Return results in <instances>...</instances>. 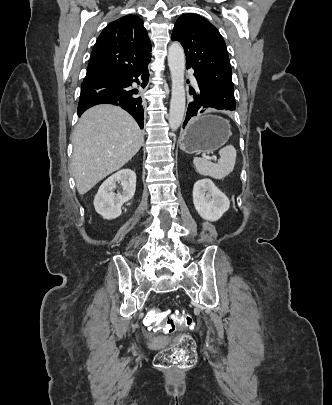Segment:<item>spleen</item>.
Masks as SVG:
<instances>
[{
	"label": "spleen",
	"mask_w": 332,
	"mask_h": 405,
	"mask_svg": "<svg viewBox=\"0 0 332 405\" xmlns=\"http://www.w3.org/2000/svg\"><path fill=\"white\" fill-rule=\"evenodd\" d=\"M220 159L216 164L203 158L194 157L193 164L196 171L202 176L221 180L228 176L234 169L236 150L232 145H227L219 150Z\"/></svg>",
	"instance_id": "3e777b00"
}]
</instances>
